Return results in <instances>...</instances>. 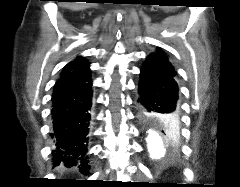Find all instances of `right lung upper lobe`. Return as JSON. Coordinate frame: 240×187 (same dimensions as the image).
I'll use <instances>...</instances> for the list:
<instances>
[{
    "label": "right lung upper lobe",
    "mask_w": 240,
    "mask_h": 187,
    "mask_svg": "<svg viewBox=\"0 0 240 187\" xmlns=\"http://www.w3.org/2000/svg\"><path fill=\"white\" fill-rule=\"evenodd\" d=\"M88 63L83 57H77L75 60L71 61L70 63H68L64 68L63 71L61 73V75L66 74L72 70H74L75 68Z\"/></svg>",
    "instance_id": "obj_1"
}]
</instances>
